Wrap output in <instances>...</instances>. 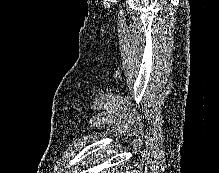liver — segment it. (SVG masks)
<instances>
[{
  "label": "liver",
  "instance_id": "1",
  "mask_svg": "<svg viewBox=\"0 0 219 173\" xmlns=\"http://www.w3.org/2000/svg\"><path fill=\"white\" fill-rule=\"evenodd\" d=\"M105 173H123V172H119L118 170H116V172H115V169L110 170V168H109Z\"/></svg>",
  "mask_w": 219,
  "mask_h": 173
}]
</instances>
